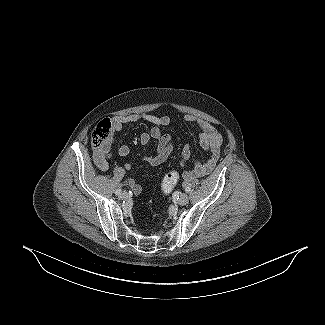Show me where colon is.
<instances>
[{
  "mask_svg": "<svg viewBox=\"0 0 325 325\" xmlns=\"http://www.w3.org/2000/svg\"><path fill=\"white\" fill-rule=\"evenodd\" d=\"M112 130L111 122L107 119L99 122L91 134V145L94 148L102 147L108 140ZM179 180V173L176 170H171L165 174L162 180V189L169 194Z\"/></svg>",
  "mask_w": 325,
  "mask_h": 325,
  "instance_id": "5ec220e1",
  "label": "colon"
}]
</instances>
